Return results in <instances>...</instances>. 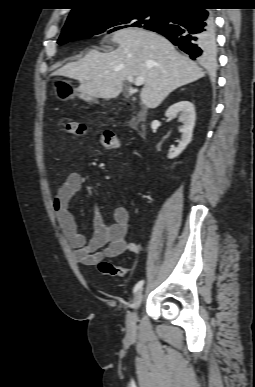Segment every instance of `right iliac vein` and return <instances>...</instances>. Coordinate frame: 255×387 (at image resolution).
Masks as SVG:
<instances>
[{"mask_svg": "<svg viewBox=\"0 0 255 387\" xmlns=\"http://www.w3.org/2000/svg\"><path fill=\"white\" fill-rule=\"evenodd\" d=\"M143 301V289H139L134 295L132 302V311L128 312L126 317V328L130 335H133L136 330L137 309Z\"/></svg>", "mask_w": 255, "mask_h": 387, "instance_id": "1", "label": "right iliac vein"}]
</instances>
